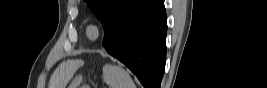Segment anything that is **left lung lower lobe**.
<instances>
[{
    "label": "left lung lower lobe",
    "mask_w": 267,
    "mask_h": 88,
    "mask_svg": "<svg viewBox=\"0 0 267 88\" xmlns=\"http://www.w3.org/2000/svg\"><path fill=\"white\" fill-rule=\"evenodd\" d=\"M163 0H137L105 33L106 51L123 62L145 88H160L166 61Z\"/></svg>",
    "instance_id": "1"
}]
</instances>
